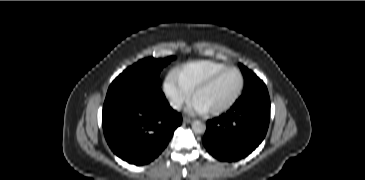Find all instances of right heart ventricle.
Here are the masks:
<instances>
[{
    "label": "right heart ventricle",
    "mask_w": 365,
    "mask_h": 180,
    "mask_svg": "<svg viewBox=\"0 0 365 180\" xmlns=\"http://www.w3.org/2000/svg\"><path fill=\"white\" fill-rule=\"evenodd\" d=\"M228 67L216 61H198L189 63L177 70L180 83L190 94L192 91L215 73Z\"/></svg>",
    "instance_id": "1"
}]
</instances>
